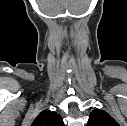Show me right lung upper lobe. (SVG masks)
Wrapping results in <instances>:
<instances>
[{
  "label": "right lung upper lobe",
  "mask_w": 127,
  "mask_h": 126,
  "mask_svg": "<svg viewBox=\"0 0 127 126\" xmlns=\"http://www.w3.org/2000/svg\"><path fill=\"white\" fill-rule=\"evenodd\" d=\"M31 126H65L60 115L44 110L34 120Z\"/></svg>",
  "instance_id": "cb5924a9"
}]
</instances>
